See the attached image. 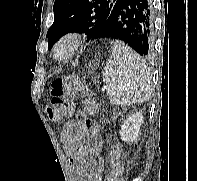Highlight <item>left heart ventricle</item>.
Returning <instances> with one entry per match:
<instances>
[{
	"label": "left heart ventricle",
	"mask_w": 197,
	"mask_h": 181,
	"mask_svg": "<svg viewBox=\"0 0 197 181\" xmlns=\"http://www.w3.org/2000/svg\"><path fill=\"white\" fill-rule=\"evenodd\" d=\"M66 50V48L61 49V53H63Z\"/></svg>",
	"instance_id": "obj_1"
}]
</instances>
